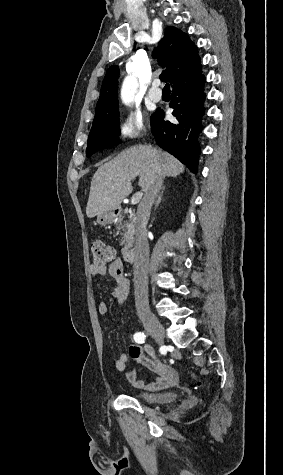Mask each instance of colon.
Listing matches in <instances>:
<instances>
[{
	"instance_id": "colon-1",
	"label": "colon",
	"mask_w": 283,
	"mask_h": 475,
	"mask_svg": "<svg viewBox=\"0 0 283 475\" xmlns=\"http://www.w3.org/2000/svg\"><path fill=\"white\" fill-rule=\"evenodd\" d=\"M90 251L93 255L95 265H113L115 250L112 247L107 246L100 241H96L91 244Z\"/></svg>"
}]
</instances>
